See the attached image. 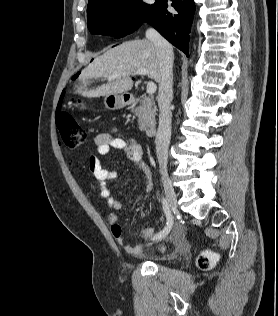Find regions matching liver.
<instances>
[{
    "mask_svg": "<svg viewBox=\"0 0 278 316\" xmlns=\"http://www.w3.org/2000/svg\"><path fill=\"white\" fill-rule=\"evenodd\" d=\"M140 68L148 70V77L160 83L162 63L155 44L150 40L127 41L103 55L96 57L79 76L80 86L77 93L83 97L95 98L108 95L123 94L133 87L131 76ZM119 75L111 79L112 76ZM107 78L108 83L88 89L89 79Z\"/></svg>",
    "mask_w": 278,
    "mask_h": 316,
    "instance_id": "1",
    "label": "liver"
}]
</instances>
